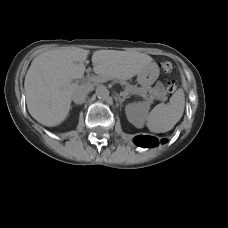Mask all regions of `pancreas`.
<instances>
[{"label": "pancreas", "mask_w": 228, "mask_h": 228, "mask_svg": "<svg viewBox=\"0 0 228 228\" xmlns=\"http://www.w3.org/2000/svg\"><path fill=\"white\" fill-rule=\"evenodd\" d=\"M101 81H104L105 79L100 77ZM149 92L150 97L152 99H161L164 95V92H161L159 89H153V88H144V87H137L130 84L126 85L125 93L130 94H147Z\"/></svg>", "instance_id": "cf45deb5"}]
</instances>
